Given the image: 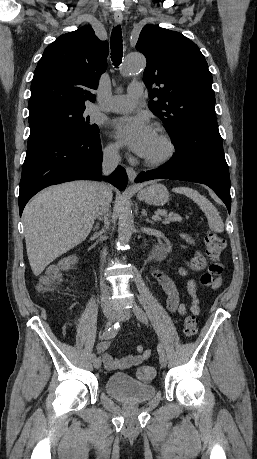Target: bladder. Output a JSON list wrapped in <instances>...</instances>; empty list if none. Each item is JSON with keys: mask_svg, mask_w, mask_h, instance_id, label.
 Wrapping results in <instances>:
<instances>
[{"mask_svg": "<svg viewBox=\"0 0 257 459\" xmlns=\"http://www.w3.org/2000/svg\"><path fill=\"white\" fill-rule=\"evenodd\" d=\"M107 394L124 403H145L153 398L156 389L153 385L134 379L128 373H114L105 384Z\"/></svg>", "mask_w": 257, "mask_h": 459, "instance_id": "obj_1", "label": "bladder"}]
</instances>
